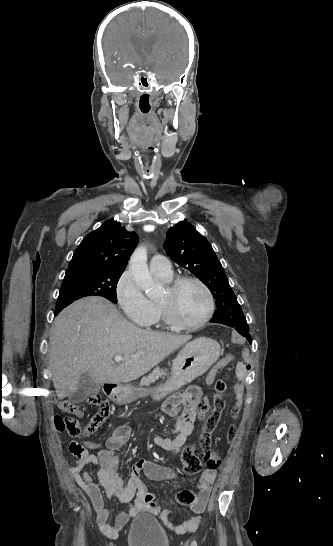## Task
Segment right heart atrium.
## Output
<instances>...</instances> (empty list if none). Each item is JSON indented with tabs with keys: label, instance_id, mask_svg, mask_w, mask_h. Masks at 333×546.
<instances>
[{
	"label": "right heart atrium",
	"instance_id": "1",
	"mask_svg": "<svg viewBox=\"0 0 333 546\" xmlns=\"http://www.w3.org/2000/svg\"><path fill=\"white\" fill-rule=\"evenodd\" d=\"M115 298L125 316L139 325H147L154 316V306L144 295L130 271H125L115 285Z\"/></svg>",
	"mask_w": 333,
	"mask_h": 546
}]
</instances>
